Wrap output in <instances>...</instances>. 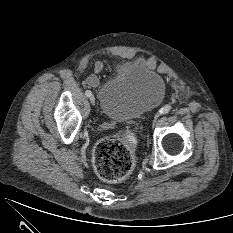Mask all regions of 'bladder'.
I'll return each instance as SVG.
<instances>
[{
    "instance_id": "obj_1",
    "label": "bladder",
    "mask_w": 233,
    "mask_h": 233,
    "mask_svg": "<svg viewBox=\"0 0 233 233\" xmlns=\"http://www.w3.org/2000/svg\"><path fill=\"white\" fill-rule=\"evenodd\" d=\"M166 92L163 77L142 60L121 64L116 75L98 87V104L108 118L124 122L158 106Z\"/></svg>"
}]
</instances>
